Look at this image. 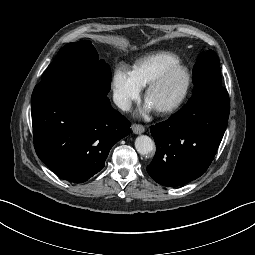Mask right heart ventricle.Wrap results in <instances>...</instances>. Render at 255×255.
I'll return each mask as SVG.
<instances>
[{
	"label": "right heart ventricle",
	"instance_id": "obj_1",
	"mask_svg": "<svg viewBox=\"0 0 255 255\" xmlns=\"http://www.w3.org/2000/svg\"><path fill=\"white\" fill-rule=\"evenodd\" d=\"M179 57L169 51H159L140 58L133 69V73L141 87L147 86L168 66L179 63Z\"/></svg>",
	"mask_w": 255,
	"mask_h": 255
}]
</instances>
